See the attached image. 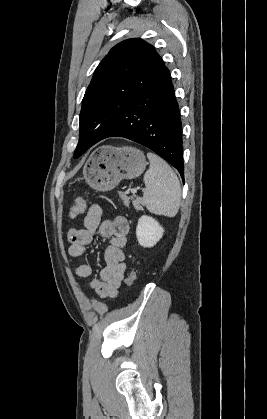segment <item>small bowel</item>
Returning a JSON list of instances; mask_svg holds the SVG:
<instances>
[{
	"mask_svg": "<svg viewBox=\"0 0 267 419\" xmlns=\"http://www.w3.org/2000/svg\"><path fill=\"white\" fill-rule=\"evenodd\" d=\"M130 227L126 218L116 217L113 220H102V208L92 204L84 217V227L70 228L67 233L70 246L68 254L71 257H82L87 246L93 241L94 235L109 239L105 249V266L100 271L99 278H91L87 282L101 298H112L117 295L124 280L127 264L125 249L127 248V235ZM94 273V266L88 263L79 265L75 274L80 278H89Z\"/></svg>",
	"mask_w": 267,
	"mask_h": 419,
	"instance_id": "1",
	"label": "small bowel"
}]
</instances>
